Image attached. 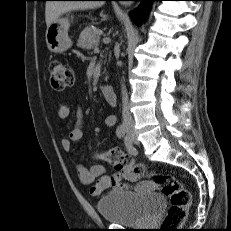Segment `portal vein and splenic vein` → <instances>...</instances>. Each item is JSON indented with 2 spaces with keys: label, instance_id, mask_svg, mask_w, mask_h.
<instances>
[{
  "label": "portal vein and splenic vein",
  "instance_id": "portal-vein-and-splenic-vein-1",
  "mask_svg": "<svg viewBox=\"0 0 231 231\" xmlns=\"http://www.w3.org/2000/svg\"><path fill=\"white\" fill-rule=\"evenodd\" d=\"M94 52H99V48H98V47H95V48H94Z\"/></svg>",
  "mask_w": 231,
  "mask_h": 231
}]
</instances>
